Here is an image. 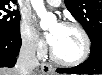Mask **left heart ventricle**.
Masks as SVG:
<instances>
[{"instance_id": "left-heart-ventricle-1", "label": "left heart ventricle", "mask_w": 102, "mask_h": 75, "mask_svg": "<svg viewBox=\"0 0 102 75\" xmlns=\"http://www.w3.org/2000/svg\"><path fill=\"white\" fill-rule=\"evenodd\" d=\"M50 31L53 34L51 46L58 57L72 61L81 56L84 42L77 29L56 23L51 26Z\"/></svg>"}]
</instances>
